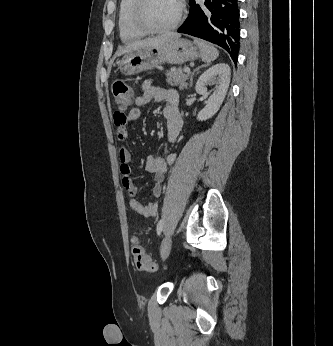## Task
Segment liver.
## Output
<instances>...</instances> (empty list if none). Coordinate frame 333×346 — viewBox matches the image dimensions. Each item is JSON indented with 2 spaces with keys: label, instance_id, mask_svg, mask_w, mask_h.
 Wrapping results in <instances>:
<instances>
[{
  "label": "liver",
  "instance_id": "6515ba94",
  "mask_svg": "<svg viewBox=\"0 0 333 346\" xmlns=\"http://www.w3.org/2000/svg\"><path fill=\"white\" fill-rule=\"evenodd\" d=\"M179 38H180V35L177 33H167V34H164L161 36L151 37V38H148V39H145L142 41H137V42L128 44L127 46L120 48L116 52V56H120V55H123L125 53H129L131 51H135L138 49L162 45V44H165L169 41L179 39Z\"/></svg>",
  "mask_w": 333,
  "mask_h": 346
}]
</instances>
